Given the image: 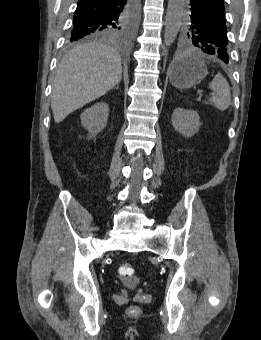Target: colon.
<instances>
[{"label": "colon", "instance_id": "5ec220e1", "mask_svg": "<svg viewBox=\"0 0 261 340\" xmlns=\"http://www.w3.org/2000/svg\"><path fill=\"white\" fill-rule=\"evenodd\" d=\"M118 274L124 281H130L134 275V268L130 263H122L118 267ZM129 314H139L141 309L138 306L132 305L128 308Z\"/></svg>", "mask_w": 261, "mask_h": 340}]
</instances>
